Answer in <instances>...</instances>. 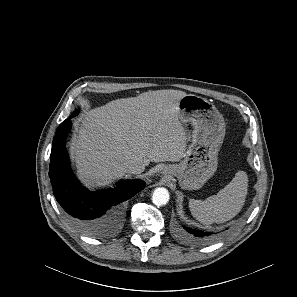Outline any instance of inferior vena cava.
I'll return each mask as SVG.
<instances>
[{
    "label": "inferior vena cava",
    "instance_id": "1",
    "mask_svg": "<svg viewBox=\"0 0 297 297\" xmlns=\"http://www.w3.org/2000/svg\"><path fill=\"white\" fill-rule=\"evenodd\" d=\"M124 167L129 174H140L145 169L144 163L139 160H128L125 162Z\"/></svg>",
    "mask_w": 297,
    "mask_h": 297
}]
</instances>
